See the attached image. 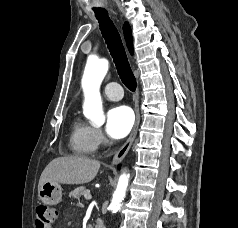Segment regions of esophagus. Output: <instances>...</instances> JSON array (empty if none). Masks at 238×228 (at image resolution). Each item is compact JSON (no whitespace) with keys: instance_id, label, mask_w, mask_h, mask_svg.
<instances>
[{"instance_id":"34e87169","label":"esophagus","mask_w":238,"mask_h":228,"mask_svg":"<svg viewBox=\"0 0 238 228\" xmlns=\"http://www.w3.org/2000/svg\"><path fill=\"white\" fill-rule=\"evenodd\" d=\"M134 101H135V112H136V120L133 126V129L130 133V136L126 140V142L123 144V146L115 153L113 160H112V165H115L119 163L120 161L123 160V158L126 156L128 153L135 137L137 134V130L139 127L140 123V112H139V89H137L135 96H134Z\"/></svg>"}]
</instances>
